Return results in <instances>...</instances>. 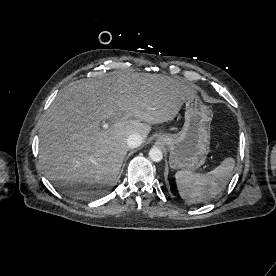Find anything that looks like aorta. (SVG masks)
<instances>
[{
	"label": "aorta",
	"instance_id": "obj_1",
	"mask_svg": "<svg viewBox=\"0 0 276 276\" xmlns=\"http://www.w3.org/2000/svg\"><path fill=\"white\" fill-rule=\"evenodd\" d=\"M149 157L152 161L159 162L163 158V153L159 148L153 147L149 151Z\"/></svg>",
	"mask_w": 276,
	"mask_h": 276
}]
</instances>
